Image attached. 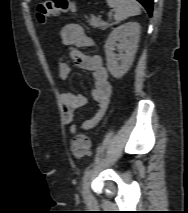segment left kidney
Masks as SVG:
<instances>
[{
    "mask_svg": "<svg viewBox=\"0 0 188 213\" xmlns=\"http://www.w3.org/2000/svg\"><path fill=\"white\" fill-rule=\"evenodd\" d=\"M139 38L140 25L137 22L122 24L109 34L104 48L107 67L114 78L120 79L131 67L137 52ZM115 47L119 54L114 53Z\"/></svg>",
    "mask_w": 188,
    "mask_h": 213,
    "instance_id": "obj_1",
    "label": "left kidney"
}]
</instances>
